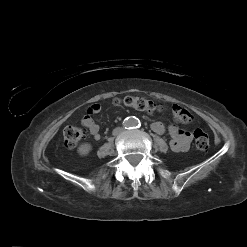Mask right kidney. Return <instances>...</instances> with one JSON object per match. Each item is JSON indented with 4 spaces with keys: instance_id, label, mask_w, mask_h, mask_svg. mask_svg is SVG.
I'll list each match as a JSON object with an SVG mask.
<instances>
[{
    "instance_id": "right-kidney-1",
    "label": "right kidney",
    "mask_w": 247,
    "mask_h": 247,
    "mask_svg": "<svg viewBox=\"0 0 247 247\" xmlns=\"http://www.w3.org/2000/svg\"><path fill=\"white\" fill-rule=\"evenodd\" d=\"M92 150V146L91 144L89 143H84V144H81L79 147H78V153L81 155V156H86L89 154V152Z\"/></svg>"
}]
</instances>
